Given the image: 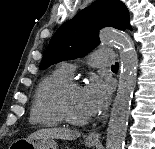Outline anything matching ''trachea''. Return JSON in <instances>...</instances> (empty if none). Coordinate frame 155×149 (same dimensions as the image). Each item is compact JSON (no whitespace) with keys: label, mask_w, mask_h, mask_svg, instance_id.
Here are the masks:
<instances>
[{"label":"trachea","mask_w":155,"mask_h":149,"mask_svg":"<svg viewBox=\"0 0 155 149\" xmlns=\"http://www.w3.org/2000/svg\"><path fill=\"white\" fill-rule=\"evenodd\" d=\"M111 69H118V62H116L115 65H112Z\"/></svg>","instance_id":"obj_1"}]
</instances>
